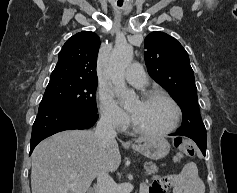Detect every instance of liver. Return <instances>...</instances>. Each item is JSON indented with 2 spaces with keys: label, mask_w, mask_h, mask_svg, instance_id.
Masks as SVG:
<instances>
[{
  "label": "liver",
  "mask_w": 237,
  "mask_h": 193,
  "mask_svg": "<svg viewBox=\"0 0 237 193\" xmlns=\"http://www.w3.org/2000/svg\"><path fill=\"white\" fill-rule=\"evenodd\" d=\"M147 140L139 138L136 142ZM120 163L115 139L101 147L93 130L59 132L40 142L33 151L32 193H86L100 171L114 172Z\"/></svg>",
  "instance_id": "1"
}]
</instances>
